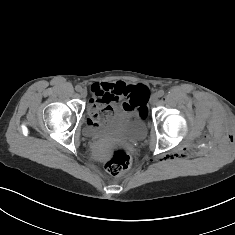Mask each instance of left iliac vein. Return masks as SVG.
<instances>
[{
    "instance_id": "1",
    "label": "left iliac vein",
    "mask_w": 235,
    "mask_h": 235,
    "mask_svg": "<svg viewBox=\"0 0 235 235\" xmlns=\"http://www.w3.org/2000/svg\"><path fill=\"white\" fill-rule=\"evenodd\" d=\"M157 101H158V95L156 93L152 94L150 98L151 105H155Z\"/></svg>"
}]
</instances>
